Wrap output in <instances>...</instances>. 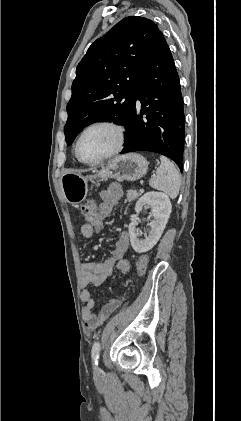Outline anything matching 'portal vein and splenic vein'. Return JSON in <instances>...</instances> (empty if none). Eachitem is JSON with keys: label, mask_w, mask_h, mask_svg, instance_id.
<instances>
[{"label": "portal vein and splenic vein", "mask_w": 241, "mask_h": 421, "mask_svg": "<svg viewBox=\"0 0 241 421\" xmlns=\"http://www.w3.org/2000/svg\"><path fill=\"white\" fill-rule=\"evenodd\" d=\"M139 191H140V193H143V192H144V190H143V189H140Z\"/></svg>", "instance_id": "portal-vein-and-splenic-vein-1"}]
</instances>
